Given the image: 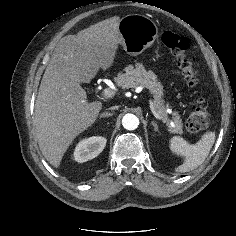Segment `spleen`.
<instances>
[{"mask_svg": "<svg viewBox=\"0 0 236 236\" xmlns=\"http://www.w3.org/2000/svg\"><path fill=\"white\" fill-rule=\"evenodd\" d=\"M215 132H205L195 144H188L182 137L173 136L169 141L171 151L185 157L184 163L176 168L177 172H188L200 166L207 158L214 142Z\"/></svg>", "mask_w": 236, "mask_h": 236, "instance_id": "1", "label": "spleen"}]
</instances>
